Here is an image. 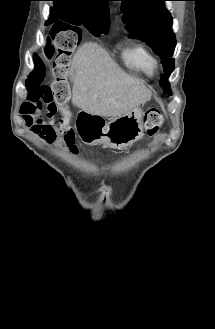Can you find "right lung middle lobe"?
I'll list each match as a JSON object with an SVG mask.
<instances>
[{
    "instance_id": "right-lung-middle-lobe-1",
    "label": "right lung middle lobe",
    "mask_w": 215,
    "mask_h": 329,
    "mask_svg": "<svg viewBox=\"0 0 215 329\" xmlns=\"http://www.w3.org/2000/svg\"><path fill=\"white\" fill-rule=\"evenodd\" d=\"M50 14L52 15V13H50ZM68 22L69 23L65 24V25H67V27L69 29H72L75 32H77L79 36L81 35V30L78 27H76L79 25H84L90 31V33H92L94 36H99L100 34L108 33V30H106L105 28H103L99 25H96L92 22H86L83 18H80L79 16H71L68 19Z\"/></svg>"
}]
</instances>
